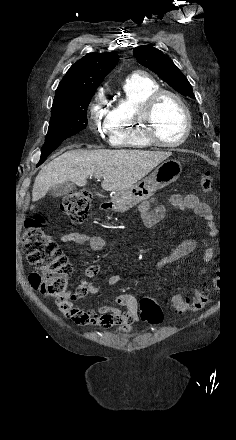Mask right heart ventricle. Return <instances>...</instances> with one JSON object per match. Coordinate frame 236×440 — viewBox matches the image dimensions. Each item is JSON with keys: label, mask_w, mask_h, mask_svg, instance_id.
Returning a JSON list of instances; mask_svg holds the SVG:
<instances>
[{"label": "right heart ventricle", "mask_w": 236, "mask_h": 440, "mask_svg": "<svg viewBox=\"0 0 236 440\" xmlns=\"http://www.w3.org/2000/svg\"><path fill=\"white\" fill-rule=\"evenodd\" d=\"M158 89V83L147 75L133 74L126 78L123 95L114 101L107 119L108 139L113 147L146 149L152 146L143 134L139 116L147 97Z\"/></svg>", "instance_id": "obj_1"}]
</instances>
